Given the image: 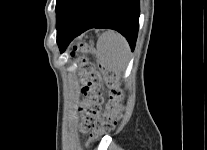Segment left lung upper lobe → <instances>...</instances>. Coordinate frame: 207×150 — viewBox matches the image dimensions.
Listing matches in <instances>:
<instances>
[{
  "mask_svg": "<svg viewBox=\"0 0 207 150\" xmlns=\"http://www.w3.org/2000/svg\"><path fill=\"white\" fill-rule=\"evenodd\" d=\"M66 0H57L56 2V16L58 17L59 12L63 6V4L65 3Z\"/></svg>",
  "mask_w": 207,
  "mask_h": 150,
  "instance_id": "obj_1",
  "label": "left lung upper lobe"
}]
</instances>
